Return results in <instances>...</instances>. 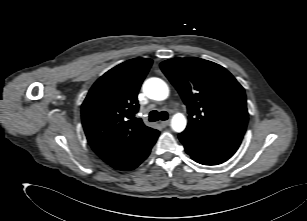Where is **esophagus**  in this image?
<instances>
[{"mask_svg": "<svg viewBox=\"0 0 307 221\" xmlns=\"http://www.w3.org/2000/svg\"><path fill=\"white\" fill-rule=\"evenodd\" d=\"M169 123H170V121H169V120H166V121H161V122H160V125H161L163 128H165L166 126H168V125H169Z\"/></svg>", "mask_w": 307, "mask_h": 221, "instance_id": "esophagus-1", "label": "esophagus"}]
</instances>
